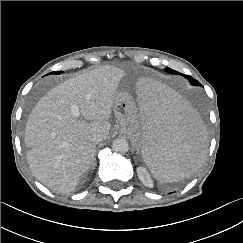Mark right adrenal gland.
Instances as JSON below:
<instances>
[{
  "label": "right adrenal gland",
  "instance_id": "obj_1",
  "mask_svg": "<svg viewBox=\"0 0 243 243\" xmlns=\"http://www.w3.org/2000/svg\"><path fill=\"white\" fill-rule=\"evenodd\" d=\"M95 165H96V163L94 162V163H93V167H92L93 170H94V168H95Z\"/></svg>",
  "mask_w": 243,
  "mask_h": 243
}]
</instances>
